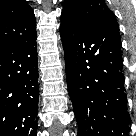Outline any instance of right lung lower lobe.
Returning <instances> with one entry per match:
<instances>
[{"label": "right lung lower lobe", "mask_w": 136, "mask_h": 136, "mask_svg": "<svg viewBox=\"0 0 136 136\" xmlns=\"http://www.w3.org/2000/svg\"><path fill=\"white\" fill-rule=\"evenodd\" d=\"M37 60L36 35L0 49V136H36Z\"/></svg>", "instance_id": "right-lung-lower-lobe-1"}]
</instances>
